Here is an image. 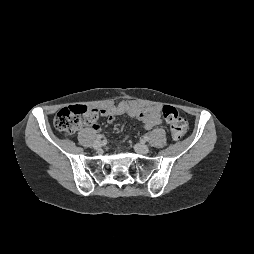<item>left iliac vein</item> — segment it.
Masks as SVG:
<instances>
[{"instance_id":"4c4485c4","label":"left iliac vein","mask_w":254,"mask_h":254,"mask_svg":"<svg viewBox=\"0 0 254 254\" xmlns=\"http://www.w3.org/2000/svg\"><path fill=\"white\" fill-rule=\"evenodd\" d=\"M134 149L137 153H140V154H147L149 152V147L143 143L135 144Z\"/></svg>"}]
</instances>
